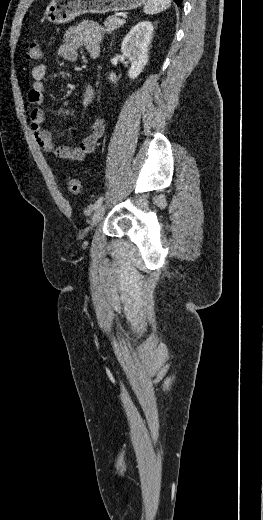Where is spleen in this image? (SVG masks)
I'll use <instances>...</instances> for the list:
<instances>
[{"instance_id":"3e777b00","label":"spleen","mask_w":263,"mask_h":520,"mask_svg":"<svg viewBox=\"0 0 263 520\" xmlns=\"http://www.w3.org/2000/svg\"><path fill=\"white\" fill-rule=\"evenodd\" d=\"M171 5V0H148L143 11L145 14H157L160 13Z\"/></svg>"}]
</instances>
